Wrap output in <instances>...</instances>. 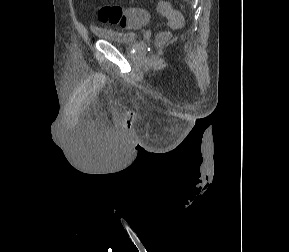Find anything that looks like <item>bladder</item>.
I'll return each instance as SVG.
<instances>
[{
  "label": "bladder",
  "instance_id": "31cf9c89",
  "mask_svg": "<svg viewBox=\"0 0 289 252\" xmlns=\"http://www.w3.org/2000/svg\"><path fill=\"white\" fill-rule=\"evenodd\" d=\"M94 35L101 40L125 45L132 46L137 43L139 34L132 31H120L107 28H94Z\"/></svg>",
  "mask_w": 289,
  "mask_h": 252
}]
</instances>
